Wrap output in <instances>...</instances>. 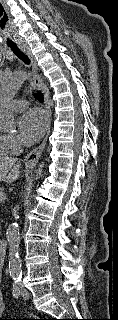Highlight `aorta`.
Segmentation results:
<instances>
[{
	"label": "aorta",
	"mask_w": 118,
	"mask_h": 320,
	"mask_svg": "<svg viewBox=\"0 0 118 320\" xmlns=\"http://www.w3.org/2000/svg\"><path fill=\"white\" fill-rule=\"evenodd\" d=\"M26 78V73L20 70L7 72L0 76V130L2 131H11L16 127V115L11 110L9 103ZM43 168L44 163L38 165L35 170L34 181L42 176ZM6 238L9 245V273L12 279L17 280L22 276V263L19 254L21 239L17 223L9 225Z\"/></svg>",
	"instance_id": "obj_1"
}]
</instances>
